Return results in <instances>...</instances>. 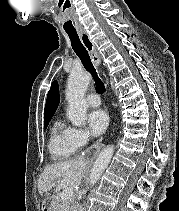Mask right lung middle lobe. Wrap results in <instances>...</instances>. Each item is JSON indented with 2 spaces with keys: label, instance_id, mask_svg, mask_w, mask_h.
Wrapping results in <instances>:
<instances>
[{
  "label": "right lung middle lobe",
  "instance_id": "1",
  "mask_svg": "<svg viewBox=\"0 0 179 211\" xmlns=\"http://www.w3.org/2000/svg\"><path fill=\"white\" fill-rule=\"evenodd\" d=\"M50 119H51V117L44 119V126H45V128L48 126Z\"/></svg>",
  "mask_w": 179,
  "mask_h": 211
}]
</instances>
